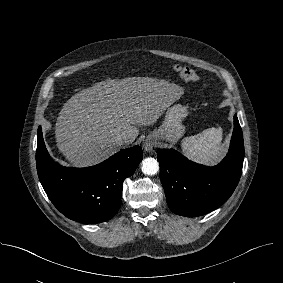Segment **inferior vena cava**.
<instances>
[{
    "label": "inferior vena cava",
    "instance_id": "602c4592",
    "mask_svg": "<svg viewBox=\"0 0 283 283\" xmlns=\"http://www.w3.org/2000/svg\"><path fill=\"white\" fill-rule=\"evenodd\" d=\"M115 143L122 146L124 144H127L129 143V139L127 136H124V135H120L118 137L115 138Z\"/></svg>",
    "mask_w": 283,
    "mask_h": 283
}]
</instances>
